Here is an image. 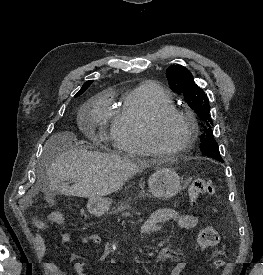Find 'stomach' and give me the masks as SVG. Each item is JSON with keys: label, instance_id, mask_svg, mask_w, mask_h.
Listing matches in <instances>:
<instances>
[{"label": "stomach", "instance_id": "obj_1", "mask_svg": "<svg viewBox=\"0 0 263 275\" xmlns=\"http://www.w3.org/2000/svg\"><path fill=\"white\" fill-rule=\"evenodd\" d=\"M149 190L157 198H171L182 189V182L177 172L168 167L157 168L148 180ZM111 201L105 198H91L88 211L99 217L110 209Z\"/></svg>", "mask_w": 263, "mask_h": 275}]
</instances>
